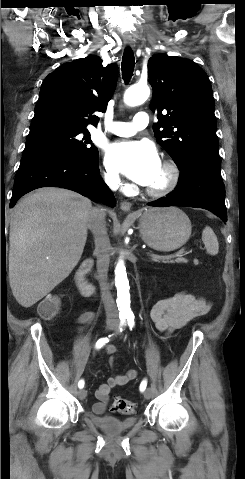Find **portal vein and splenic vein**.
<instances>
[{"mask_svg":"<svg viewBox=\"0 0 245 479\" xmlns=\"http://www.w3.org/2000/svg\"><path fill=\"white\" fill-rule=\"evenodd\" d=\"M148 255L151 257V258H155V259H170V258H175V257H183L184 255H186V251L184 249H180L179 251L173 253V254H170V255H167V256H159V255H156L154 253H148Z\"/></svg>","mask_w":245,"mask_h":479,"instance_id":"obj_1","label":"portal vein and splenic vein"}]
</instances>
